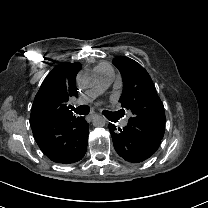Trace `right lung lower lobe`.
<instances>
[{
    "mask_svg": "<svg viewBox=\"0 0 208 208\" xmlns=\"http://www.w3.org/2000/svg\"><path fill=\"white\" fill-rule=\"evenodd\" d=\"M30 125L35 141L50 160L71 164L84 157L89 124L83 117L37 120Z\"/></svg>",
    "mask_w": 208,
    "mask_h": 208,
    "instance_id": "1",
    "label": "right lung lower lobe"
}]
</instances>
